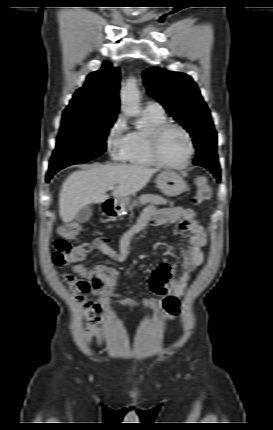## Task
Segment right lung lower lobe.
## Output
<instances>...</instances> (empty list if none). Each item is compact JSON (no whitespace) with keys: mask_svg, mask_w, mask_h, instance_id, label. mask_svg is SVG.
Wrapping results in <instances>:
<instances>
[{"mask_svg":"<svg viewBox=\"0 0 273 430\" xmlns=\"http://www.w3.org/2000/svg\"><path fill=\"white\" fill-rule=\"evenodd\" d=\"M53 176L52 173H48L46 177V182H49L50 178Z\"/></svg>","mask_w":273,"mask_h":430,"instance_id":"98d812e1","label":"right lung lower lobe"}]
</instances>
